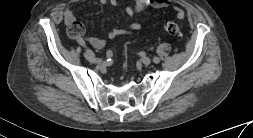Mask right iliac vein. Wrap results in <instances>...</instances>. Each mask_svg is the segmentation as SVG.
Masks as SVG:
<instances>
[{"mask_svg": "<svg viewBox=\"0 0 253 138\" xmlns=\"http://www.w3.org/2000/svg\"><path fill=\"white\" fill-rule=\"evenodd\" d=\"M84 55H85V57H86L90 62H93V63H98V62H101V61L103 60L102 58L93 57V56L87 54L86 52H84Z\"/></svg>", "mask_w": 253, "mask_h": 138, "instance_id": "obj_1", "label": "right iliac vein"}]
</instances>
